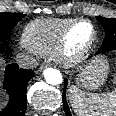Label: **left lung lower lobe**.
Wrapping results in <instances>:
<instances>
[{"instance_id": "obj_1", "label": "left lung lower lobe", "mask_w": 116, "mask_h": 116, "mask_svg": "<svg viewBox=\"0 0 116 116\" xmlns=\"http://www.w3.org/2000/svg\"><path fill=\"white\" fill-rule=\"evenodd\" d=\"M112 50H116V49H109V50H106V51L99 50V51L97 52V54L109 52V51H112ZM67 85H68V80L65 79V80H64V90H63V105H64V110H65L66 116H72V114H71V112H70V110H69L67 101H66V96H65Z\"/></svg>"}]
</instances>
